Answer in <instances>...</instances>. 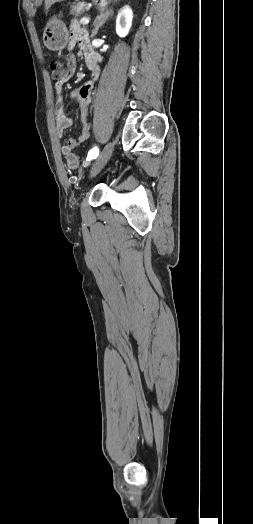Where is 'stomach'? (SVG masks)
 Wrapping results in <instances>:
<instances>
[{"label": "stomach", "instance_id": "1", "mask_svg": "<svg viewBox=\"0 0 253 524\" xmlns=\"http://www.w3.org/2000/svg\"><path fill=\"white\" fill-rule=\"evenodd\" d=\"M93 2L100 7L107 5V0H93ZM43 42L51 51H61L66 47L68 31L60 19L54 17L49 20L43 33Z\"/></svg>", "mask_w": 253, "mask_h": 524}]
</instances>
